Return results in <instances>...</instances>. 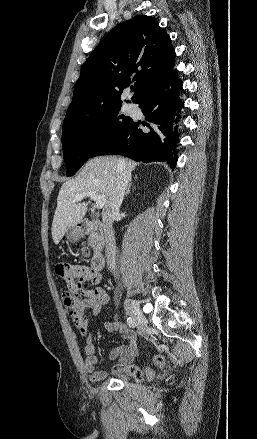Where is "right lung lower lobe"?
<instances>
[{
	"label": "right lung lower lobe",
	"mask_w": 257,
	"mask_h": 439,
	"mask_svg": "<svg viewBox=\"0 0 257 439\" xmlns=\"http://www.w3.org/2000/svg\"><path fill=\"white\" fill-rule=\"evenodd\" d=\"M182 85L177 70L156 82L138 102L148 122L132 119L90 157L118 154L137 162H167L174 169L178 158L176 144L180 141V111L184 106L179 99Z\"/></svg>",
	"instance_id": "98d812e1"
}]
</instances>
